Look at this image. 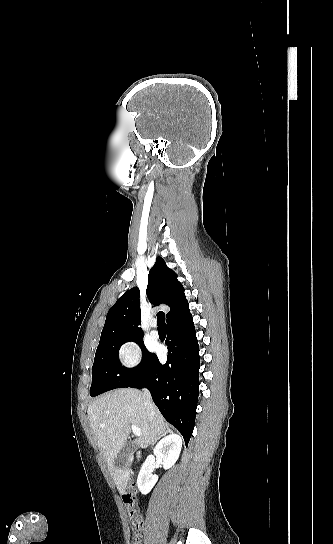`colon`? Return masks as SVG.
<instances>
[{"mask_svg": "<svg viewBox=\"0 0 333 544\" xmlns=\"http://www.w3.org/2000/svg\"><path fill=\"white\" fill-rule=\"evenodd\" d=\"M127 509L132 529V544H141L143 536V520L138 508L137 489L134 483H130L127 491L122 496Z\"/></svg>", "mask_w": 333, "mask_h": 544, "instance_id": "colon-1", "label": "colon"}]
</instances>
